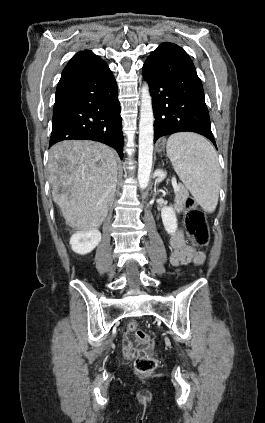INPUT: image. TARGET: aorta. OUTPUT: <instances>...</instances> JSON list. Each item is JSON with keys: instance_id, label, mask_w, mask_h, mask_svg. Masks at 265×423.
Wrapping results in <instances>:
<instances>
[{"instance_id": "obj_1", "label": "aorta", "mask_w": 265, "mask_h": 423, "mask_svg": "<svg viewBox=\"0 0 265 423\" xmlns=\"http://www.w3.org/2000/svg\"><path fill=\"white\" fill-rule=\"evenodd\" d=\"M154 115L149 85L144 82L141 88L139 121L138 184L141 189L148 186L152 169Z\"/></svg>"}]
</instances>
